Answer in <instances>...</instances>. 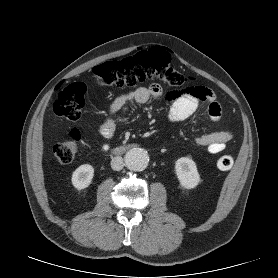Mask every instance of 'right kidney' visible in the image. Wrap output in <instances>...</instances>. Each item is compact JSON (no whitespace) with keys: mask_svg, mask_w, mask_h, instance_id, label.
Here are the masks:
<instances>
[{"mask_svg":"<svg viewBox=\"0 0 278 278\" xmlns=\"http://www.w3.org/2000/svg\"><path fill=\"white\" fill-rule=\"evenodd\" d=\"M94 176V168L89 164L79 166L72 174V184L78 189L82 190L87 188Z\"/></svg>","mask_w":278,"mask_h":278,"instance_id":"ca27d5eb","label":"right kidney"}]
</instances>
